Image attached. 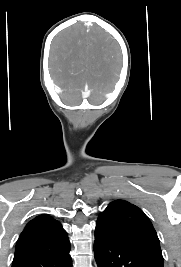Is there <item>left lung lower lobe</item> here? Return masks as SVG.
<instances>
[{
    "label": "left lung lower lobe",
    "instance_id": "1",
    "mask_svg": "<svg viewBox=\"0 0 181 267\" xmlns=\"http://www.w3.org/2000/svg\"><path fill=\"white\" fill-rule=\"evenodd\" d=\"M94 255L98 267H163V261L104 232L95 233Z\"/></svg>",
    "mask_w": 181,
    "mask_h": 267
}]
</instances>
